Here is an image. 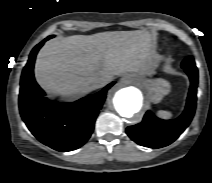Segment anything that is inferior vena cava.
Returning <instances> with one entry per match:
<instances>
[{
    "mask_svg": "<svg viewBox=\"0 0 212 183\" xmlns=\"http://www.w3.org/2000/svg\"><path fill=\"white\" fill-rule=\"evenodd\" d=\"M109 79L105 78V77H99L97 79H95L94 83H93V87L96 88H101L106 86L109 83Z\"/></svg>",
    "mask_w": 212,
    "mask_h": 183,
    "instance_id": "1",
    "label": "inferior vena cava"
}]
</instances>
